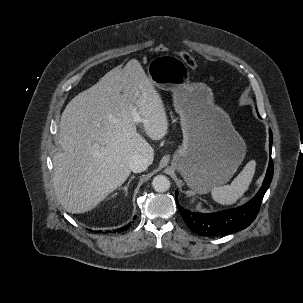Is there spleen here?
I'll return each instance as SVG.
<instances>
[{"mask_svg": "<svg viewBox=\"0 0 303 303\" xmlns=\"http://www.w3.org/2000/svg\"><path fill=\"white\" fill-rule=\"evenodd\" d=\"M256 161H249L230 185L214 187L211 195L214 201L222 205H232L248 190L255 174Z\"/></svg>", "mask_w": 303, "mask_h": 303, "instance_id": "1", "label": "spleen"}]
</instances>
